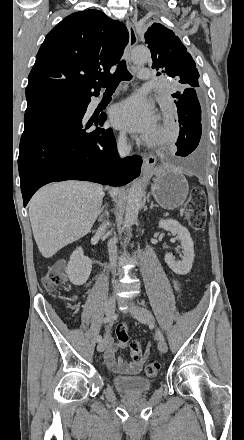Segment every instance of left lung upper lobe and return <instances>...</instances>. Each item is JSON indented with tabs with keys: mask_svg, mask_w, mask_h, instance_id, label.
Here are the masks:
<instances>
[{
	"mask_svg": "<svg viewBox=\"0 0 244 440\" xmlns=\"http://www.w3.org/2000/svg\"><path fill=\"white\" fill-rule=\"evenodd\" d=\"M145 43L151 50L152 68L192 88L199 87V73L195 61L173 31L154 23L145 34Z\"/></svg>",
	"mask_w": 244,
	"mask_h": 440,
	"instance_id": "left-lung-upper-lobe-1",
	"label": "left lung upper lobe"
}]
</instances>
